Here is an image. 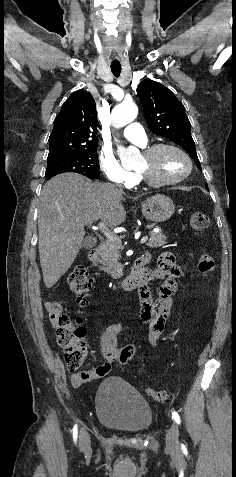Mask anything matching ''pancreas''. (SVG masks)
Here are the masks:
<instances>
[{
  "instance_id": "cf45deb5",
  "label": "pancreas",
  "mask_w": 236,
  "mask_h": 477,
  "mask_svg": "<svg viewBox=\"0 0 236 477\" xmlns=\"http://www.w3.org/2000/svg\"><path fill=\"white\" fill-rule=\"evenodd\" d=\"M120 239V238H119ZM167 244L166 236L162 232L150 233V238L146 244L150 248L162 247ZM122 249L121 240L104 242L98 251L99 258L94 262L102 264L101 270H104L111 275L112 278L117 279L123 275V266L118 262L120 258V250Z\"/></svg>"
}]
</instances>
